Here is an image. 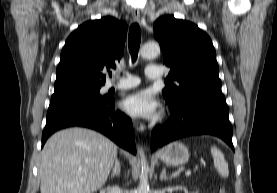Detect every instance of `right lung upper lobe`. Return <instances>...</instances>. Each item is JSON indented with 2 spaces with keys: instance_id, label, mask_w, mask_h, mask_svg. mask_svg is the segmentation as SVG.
<instances>
[{
  "instance_id": "cb5924a9",
  "label": "right lung upper lobe",
  "mask_w": 277,
  "mask_h": 193,
  "mask_svg": "<svg viewBox=\"0 0 277 193\" xmlns=\"http://www.w3.org/2000/svg\"><path fill=\"white\" fill-rule=\"evenodd\" d=\"M127 24L103 17L79 26L66 40L56 70L54 92L79 91L105 84L103 72L124 53Z\"/></svg>"
}]
</instances>
